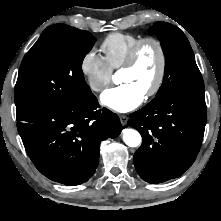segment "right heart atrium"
Here are the masks:
<instances>
[{
  "instance_id": "d8ad5b80",
  "label": "right heart atrium",
  "mask_w": 221,
  "mask_h": 221,
  "mask_svg": "<svg viewBox=\"0 0 221 221\" xmlns=\"http://www.w3.org/2000/svg\"><path fill=\"white\" fill-rule=\"evenodd\" d=\"M80 71L88 87L96 93L105 90L113 77V72L105 58L95 49H91L83 55L80 62Z\"/></svg>"
}]
</instances>
